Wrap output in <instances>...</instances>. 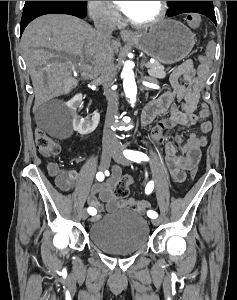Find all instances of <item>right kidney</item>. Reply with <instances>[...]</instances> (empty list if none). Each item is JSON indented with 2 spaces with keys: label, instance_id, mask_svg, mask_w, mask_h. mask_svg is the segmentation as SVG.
Masks as SVG:
<instances>
[{
  "label": "right kidney",
  "instance_id": "ca27d5eb",
  "mask_svg": "<svg viewBox=\"0 0 237 300\" xmlns=\"http://www.w3.org/2000/svg\"><path fill=\"white\" fill-rule=\"evenodd\" d=\"M81 103V93H79V95H75V97H73V99H70L68 103L69 109H71V111H73L74 113L73 129L74 131H77V133H80V135H89V133H93L96 127H98L100 115L99 113H93V115H88L86 119H83V117L77 115V109L78 107H80Z\"/></svg>",
  "mask_w": 237,
  "mask_h": 300
}]
</instances>
